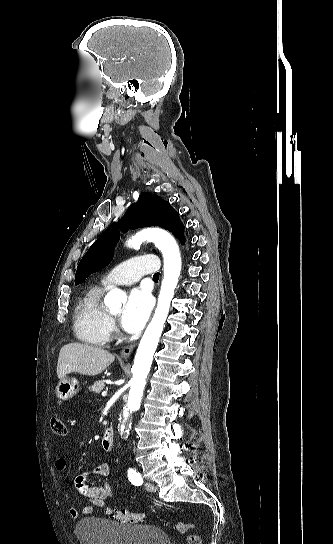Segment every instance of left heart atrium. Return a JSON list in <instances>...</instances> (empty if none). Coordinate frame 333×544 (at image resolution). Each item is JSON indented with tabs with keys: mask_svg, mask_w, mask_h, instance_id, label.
<instances>
[{
	"mask_svg": "<svg viewBox=\"0 0 333 544\" xmlns=\"http://www.w3.org/2000/svg\"><path fill=\"white\" fill-rule=\"evenodd\" d=\"M152 298L143 288L132 290L121 315V325L129 333H138L146 324L151 309Z\"/></svg>",
	"mask_w": 333,
	"mask_h": 544,
	"instance_id": "left-heart-atrium-1",
	"label": "left heart atrium"
}]
</instances>
